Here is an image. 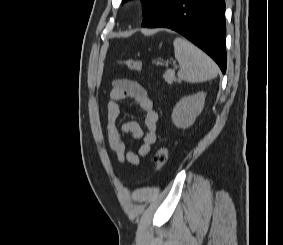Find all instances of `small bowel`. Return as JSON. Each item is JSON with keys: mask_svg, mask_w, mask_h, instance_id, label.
<instances>
[{"mask_svg": "<svg viewBox=\"0 0 283 245\" xmlns=\"http://www.w3.org/2000/svg\"><path fill=\"white\" fill-rule=\"evenodd\" d=\"M109 97L107 112L109 146L119 162L139 166L141 159L148 155L151 146L157 140L159 116L154 109L153 101L143 86L130 79L114 80ZM127 100L134 101L138 105L143 115V127L136 121H127L118 125L121 103ZM125 134H131L134 140H142L138 152L127 147L124 141Z\"/></svg>", "mask_w": 283, "mask_h": 245, "instance_id": "small-bowel-1", "label": "small bowel"}]
</instances>
